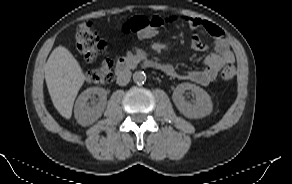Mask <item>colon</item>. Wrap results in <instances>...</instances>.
Returning a JSON list of instances; mask_svg holds the SVG:
<instances>
[{"label": "colon", "mask_w": 292, "mask_h": 184, "mask_svg": "<svg viewBox=\"0 0 292 184\" xmlns=\"http://www.w3.org/2000/svg\"><path fill=\"white\" fill-rule=\"evenodd\" d=\"M124 31L133 32L142 39L152 40L160 34L161 24L153 17L137 16L128 20L124 25ZM76 49L86 60L93 62L106 50V44L101 40L90 22L79 24L75 32ZM236 75V68L228 63L221 70V78L224 81L232 80ZM87 81L95 84L109 83L113 80V61L105 58L95 68L86 74Z\"/></svg>", "instance_id": "1"}]
</instances>
